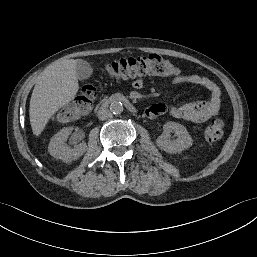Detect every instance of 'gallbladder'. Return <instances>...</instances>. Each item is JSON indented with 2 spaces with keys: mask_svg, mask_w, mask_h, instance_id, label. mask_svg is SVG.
Listing matches in <instances>:
<instances>
[{
  "mask_svg": "<svg viewBox=\"0 0 257 257\" xmlns=\"http://www.w3.org/2000/svg\"><path fill=\"white\" fill-rule=\"evenodd\" d=\"M92 68L90 64L82 59H79L77 61V66H76V76L79 80H86L90 78L92 75Z\"/></svg>",
  "mask_w": 257,
  "mask_h": 257,
  "instance_id": "gallbladder-1",
  "label": "gallbladder"
}]
</instances>
